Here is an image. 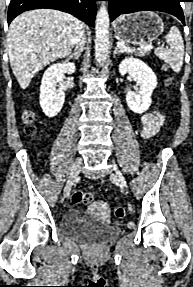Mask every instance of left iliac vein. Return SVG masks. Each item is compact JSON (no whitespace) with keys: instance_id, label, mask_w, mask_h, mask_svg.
Wrapping results in <instances>:
<instances>
[{"instance_id":"left-iliac-vein-1","label":"left iliac vein","mask_w":193,"mask_h":287,"mask_svg":"<svg viewBox=\"0 0 193 287\" xmlns=\"http://www.w3.org/2000/svg\"><path fill=\"white\" fill-rule=\"evenodd\" d=\"M110 177L111 178H117L118 181L120 182V184L123 187L127 188V184H126L124 177L122 176V174L120 173V171L117 169V167L115 165L111 166Z\"/></svg>"}]
</instances>
